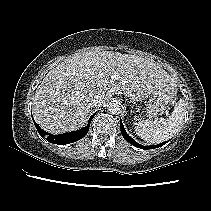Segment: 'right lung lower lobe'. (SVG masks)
<instances>
[{"instance_id":"98d812e1","label":"right lung lower lobe","mask_w":211,"mask_h":211,"mask_svg":"<svg viewBox=\"0 0 211 211\" xmlns=\"http://www.w3.org/2000/svg\"><path fill=\"white\" fill-rule=\"evenodd\" d=\"M95 114H93L90 118H89V122L88 125L80 130L77 131H72L69 133H65V134H59V135H53V134H48L47 132H45L43 129H41L34 121L33 117V121L34 124L39 132V134L41 136H46V140L50 143H54V144H69V143H73L77 140H80L81 138H83L87 132L89 131V126L91 123V120L93 119Z\"/></svg>"}]
</instances>
